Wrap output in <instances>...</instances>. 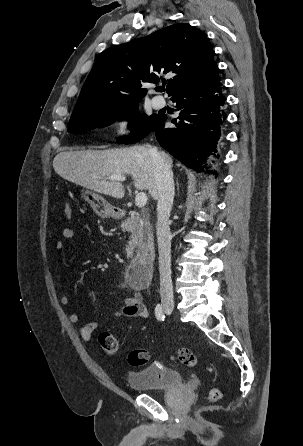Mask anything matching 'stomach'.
I'll return each instance as SVG.
<instances>
[{"instance_id": "0dacf381", "label": "stomach", "mask_w": 303, "mask_h": 446, "mask_svg": "<svg viewBox=\"0 0 303 446\" xmlns=\"http://www.w3.org/2000/svg\"><path fill=\"white\" fill-rule=\"evenodd\" d=\"M81 198L88 202L93 211L102 218L116 215L115 208L105 198L89 189L81 190Z\"/></svg>"}]
</instances>
